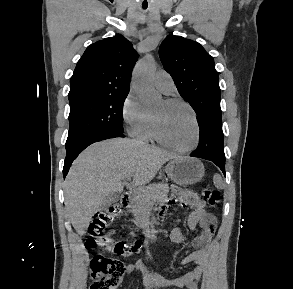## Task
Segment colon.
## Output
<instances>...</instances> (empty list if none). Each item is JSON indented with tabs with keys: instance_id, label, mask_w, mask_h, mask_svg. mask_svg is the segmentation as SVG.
I'll return each instance as SVG.
<instances>
[{
	"instance_id": "1",
	"label": "colon",
	"mask_w": 293,
	"mask_h": 289,
	"mask_svg": "<svg viewBox=\"0 0 293 289\" xmlns=\"http://www.w3.org/2000/svg\"><path fill=\"white\" fill-rule=\"evenodd\" d=\"M176 191L181 193L179 188H176ZM203 196L211 206H216L220 201V194L216 190L205 188ZM174 203L176 202H172V204ZM172 204L164 206L160 210V215H166ZM120 213L121 206L117 203L94 216L88 228V238L86 240L88 248H95L97 245H101L108 252L123 257L132 256L140 252L141 243L139 240L114 241L109 235L104 234L105 229L114 222ZM126 270L125 264L118 259L104 255L95 256L91 260L92 285L90 289H115Z\"/></svg>"
}]
</instances>
